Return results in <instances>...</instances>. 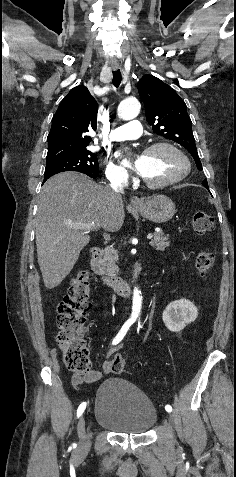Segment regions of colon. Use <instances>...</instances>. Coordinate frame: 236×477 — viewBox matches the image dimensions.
I'll list each match as a JSON object with an SVG mask.
<instances>
[{
  "label": "colon",
  "mask_w": 236,
  "mask_h": 477,
  "mask_svg": "<svg viewBox=\"0 0 236 477\" xmlns=\"http://www.w3.org/2000/svg\"><path fill=\"white\" fill-rule=\"evenodd\" d=\"M192 224L195 233L205 235L214 228L211 215L194 212ZM214 264L211 252H200L196 259V269L201 276H207ZM91 285L89 274L79 271L72 279L70 286L57 306L58 332L56 341L63 352V362L73 372H84L89 366V350L83 334L86 327V315L90 310ZM124 359L120 356L110 360L113 373H121L124 369Z\"/></svg>",
  "instance_id": "1"
}]
</instances>
